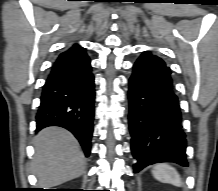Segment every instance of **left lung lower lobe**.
Segmentation results:
<instances>
[{
    "label": "left lung lower lobe",
    "mask_w": 218,
    "mask_h": 191,
    "mask_svg": "<svg viewBox=\"0 0 218 191\" xmlns=\"http://www.w3.org/2000/svg\"><path fill=\"white\" fill-rule=\"evenodd\" d=\"M129 129L134 173L156 162L187 167L186 139L170 68L143 53L129 79Z\"/></svg>",
    "instance_id": "obj_1"
}]
</instances>
